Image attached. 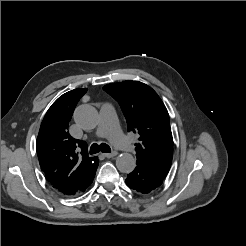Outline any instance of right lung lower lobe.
I'll return each instance as SVG.
<instances>
[{
	"instance_id": "right-lung-lower-lobe-1",
	"label": "right lung lower lobe",
	"mask_w": 246,
	"mask_h": 246,
	"mask_svg": "<svg viewBox=\"0 0 246 246\" xmlns=\"http://www.w3.org/2000/svg\"><path fill=\"white\" fill-rule=\"evenodd\" d=\"M92 181H93V179H92ZM92 181L90 182V184L92 183ZM90 184H89V185H90ZM89 185H88L87 187H89ZM87 187H86V188H87ZM86 188H85V189H86ZM85 189H84V191H85ZM84 191H83V192H84Z\"/></svg>"
}]
</instances>
